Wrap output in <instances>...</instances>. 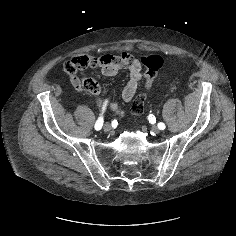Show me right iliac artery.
<instances>
[{"instance_id":"82829eb1","label":"right iliac artery","mask_w":236,"mask_h":236,"mask_svg":"<svg viewBox=\"0 0 236 236\" xmlns=\"http://www.w3.org/2000/svg\"><path fill=\"white\" fill-rule=\"evenodd\" d=\"M103 109H105V105H104ZM102 126H103V117L100 116L95 123V129L100 130L102 128Z\"/></svg>"}]
</instances>
